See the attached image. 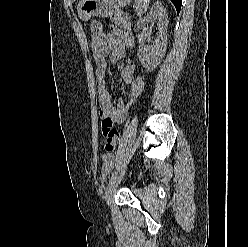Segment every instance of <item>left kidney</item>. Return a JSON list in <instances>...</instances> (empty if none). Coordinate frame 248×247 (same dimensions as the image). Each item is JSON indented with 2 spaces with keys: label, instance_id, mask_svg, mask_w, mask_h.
<instances>
[{
  "label": "left kidney",
  "instance_id": "1",
  "mask_svg": "<svg viewBox=\"0 0 248 247\" xmlns=\"http://www.w3.org/2000/svg\"><path fill=\"white\" fill-rule=\"evenodd\" d=\"M157 21L158 37L154 40L152 48L146 49L140 45L137 49L138 58L147 71L155 69L162 61L167 48V27L168 17L164 6L156 2L149 14L141 19L137 26L140 30H145L149 22Z\"/></svg>",
  "mask_w": 248,
  "mask_h": 247
}]
</instances>
